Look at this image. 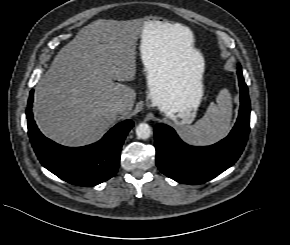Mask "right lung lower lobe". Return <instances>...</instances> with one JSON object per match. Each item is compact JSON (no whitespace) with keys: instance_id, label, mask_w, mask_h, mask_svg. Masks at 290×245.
I'll use <instances>...</instances> for the list:
<instances>
[{"instance_id":"1","label":"right lung lower lobe","mask_w":290,"mask_h":245,"mask_svg":"<svg viewBox=\"0 0 290 245\" xmlns=\"http://www.w3.org/2000/svg\"><path fill=\"white\" fill-rule=\"evenodd\" d=\"M33 93L31 90L26 117L29 138L41 164L59 178L78 186H95L113 177L118 170L122 144L134 125L133 121L118 123L94 144L65 147L46 138L37 128L32 114Z\"/></svg>"}]
</instances>
